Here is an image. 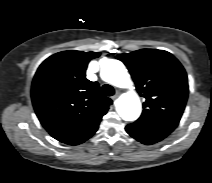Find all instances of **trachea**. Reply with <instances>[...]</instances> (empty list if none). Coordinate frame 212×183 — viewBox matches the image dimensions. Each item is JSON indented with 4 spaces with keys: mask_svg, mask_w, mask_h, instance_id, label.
Here are the masks:
<instances>
[{
    "mask_svg": "<svg viewBox=\"0 0 212 183\" xmlns=\"http://www.w3.org/2000/svg\"><path fill=\"white\" fill-rule=\"evenodd\" d=\"M103 93L106 96H112L115 93L114 88L111 85L105 84L102 86Z\"/></svg>",
    "mask_w": 212,
    "mask_h": 183,
    "instance_id": "trachea-1",
    "label": "trachea"
}]
</instances>
